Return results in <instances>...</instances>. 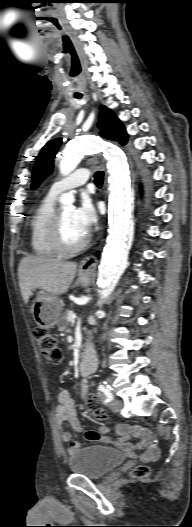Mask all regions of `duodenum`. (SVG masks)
I'll use <instances>...</instances> for the list:
<instances>
[{
    "instance_id": "obj_1",
    "label": "duodenum",
    "mask_w": 192,
    "mask_h": 527,
    "mask_svg": "<svg viewBox=\"0 0 192 527\" xmlns=\"http://www.w3.org/2000/svg\"><path fill=\"white\" fill-rule=\"evenodd\" d=\"M96 367V360L94 356V352L90 346H87L84 349L80 364H79V370L80 374L82 376H88L90 373H92L95 370Z\"/></svg>"
}]
</instances>
